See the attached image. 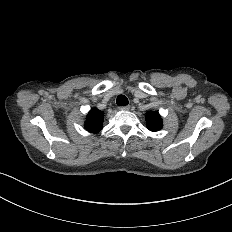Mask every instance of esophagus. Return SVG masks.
<instances>
[{"instance_id": "34e87169", "label": "esophagus", "mask_w": 232, "mask_h": 232, "mask_svg": "<svg viewBox=\"0 0 232 232\" xmlns=\"http://www.w3.org/2000/svg\"><path fill=\"white\" fill-rule=\"evenodd\" d=\"M119 109H120L121 111H128V110L130 109V106H128V105H126V106H121V107H119Z\"/></svg>"}]
</instances>
